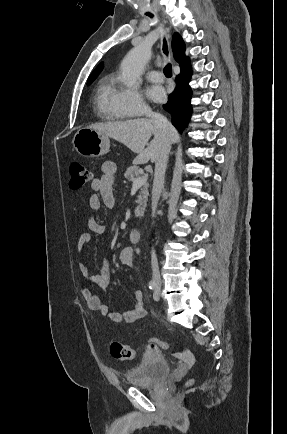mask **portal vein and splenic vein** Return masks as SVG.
Segmentation results:
<instances>
[{
    "instance_id": "18ae733b",
    "label": "portal vein and splenic vein",
    "mask_w": 287,
    "mask_h": 434,
    "mask_svg": "<svg viewBox=\"0 0 287 434\" xmlns=\"http://www.w3.org/2000/svg\"><path fill=\"white\" fill-rule=\"evenodd\" d=\"M148 175L145 174L142 177H138L136 180L133 181L132 187L133 188H140L147 182Z\"/></svg>"
}]
</instances>
